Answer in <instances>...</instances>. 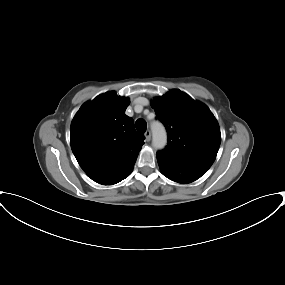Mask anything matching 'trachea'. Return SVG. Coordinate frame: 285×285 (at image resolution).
Here are the masks:
<instances>
[{
    "instance_id": "obj_1",
    "label": "trachea",
    "mask_w": 285,
    "mask_h": 285,
    "mask_svg": "<svg viewBox=\"0 0 285 285\" xmlns=\"http://www.w3.org/2000/svg\"><path fill=\"white\" fill-rule=\"evenodd\" d=\"M136 129L140 132V133H144L146 131L147 128V123L145 120L143 119H138L135 123Z\"/></svg>"
}]
</instances>
